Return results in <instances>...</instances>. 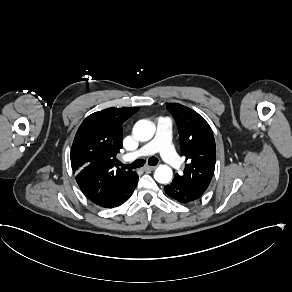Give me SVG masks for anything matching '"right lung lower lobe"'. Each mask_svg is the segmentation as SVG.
I'll return each mask as SVG.
<instances>
[{
	"label": "right lung lower lobe",
	"mask_w": 292,
	"mask_h": 292,
	"mask_svg": "<svg viewBox=\"0 0 292 292\" xmlns=\"http://www.w3.org/2000/svg\"><path fill=\"white\" fill-rule=\"evenodd\" d=\"M138 183V175L136 174L123 188L122 190L116 194L113 198L101 203V204H96L100 207L104 208H113V207H118L125 201H127L134 189L136 188Z\"/></svg>",
	"instance_id": "98d812e1"
}]
</instances>
